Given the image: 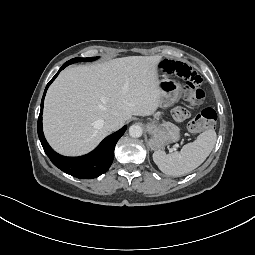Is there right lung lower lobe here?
Masks as SVG:
<instances>
[{
	"label": "right lung lower lobe",
	"mask_w": 255,
	"mask_h": 255,
	"mask_svg": "<svg viewBox=\"0 0 255 255\" xmlns=\"http://www.w3.org/2000/svg\"><path fill=\"white\" fill-rule=\"evenodd\" d=\"M72 64L70 61L64 63L57 74L47 84L41 101V110L38 118V136L42 147L49 157L51 162L65 173L80 179H92L105 173L112 164L114 158V148L117 141L126 131L127 126H124L119 131L106 137L99 146L87 155L81 157H65L56 153L47 143L42 130V113L43 102L46 91L52 81L57 77L59 72L66 66Z\"/></svg>",
	"instance_id": "right-lung-lower-lobe-1"
}]
</instances>
